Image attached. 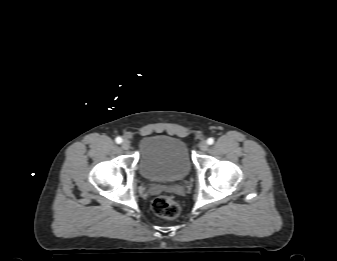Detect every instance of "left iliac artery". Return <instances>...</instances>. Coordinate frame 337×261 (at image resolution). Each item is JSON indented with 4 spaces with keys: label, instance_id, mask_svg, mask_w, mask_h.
<instances>
[{
    "label": "left iliac artery",
    "instance_id": "obj_1",
    "mask_svg": "<svg viewBox=\"0 0 337 261\" xmlns=\"http://www.w3.org/2000/svg\"><path fill=\"white\" fill-rule=\"evenodd\" d=\"M207 143L209 145H212L214 143V139L213 138H208Z\"/></svg>",
    "mask_w": 337,
    "mask_h": 261
}]
</instances>
